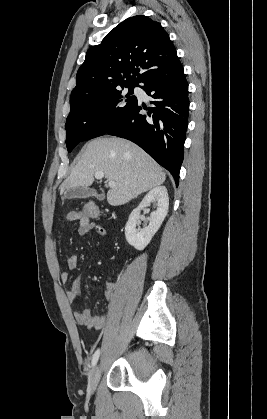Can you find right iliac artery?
Segmentation results:
<instances>
[{
  "label": "right iliac artery",
  "mask_w": 267,
  "mask_h": 419,
  "mask_svg": "<svg viewBox=\"0 0 267 419\" xmlns=\"http://www.w3.org/2000/svg\"><path fill=\"white\" fill-rule=\"evenodd\" d=\"M99 355H100V350L98 349V350H96V351H95V353L93 354V357H92V362H91L92 367H94V366L96 365V363H97V361H98V358H99Z\"/></svg>",
  "instance_id": "1"
}]
</instances>
